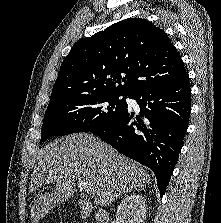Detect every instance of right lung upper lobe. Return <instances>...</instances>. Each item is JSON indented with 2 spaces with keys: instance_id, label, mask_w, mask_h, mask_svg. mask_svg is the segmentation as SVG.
<instances>
[{
  "instance_id": "right-lung-upper-lobe-1",
  "label": "right lung upper lobe",
  "mask_w": 221,
  "mask_h": 223,
  "mask_svg": "<svg viewBox=\"0 0 221 223\" xmlns=\"http://www.w3.org/2000/svg\"><path fill=\"white\" fill-rule=\"evenodd\" d=\"M185 72L162 29L145 19L128 18L73 45L61 64L50 103L82 94L130 97L175 81Z\"/></svg>"
}]
</instances>
